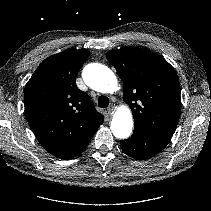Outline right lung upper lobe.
I'll return each instance as SVG.
<instances>
[{"label":"right lung upper lobe","mask_w":211,"mask_h":211,"mask_svg":"<svg viewBox=\"0 0 211 211\" xmlns=\"http://www.w3.org/2000/svg\"><path fill=\"white\" fill-rule=\"evenodd\" d=\"M89 56L86 49H67L46 58L24 90L26 119L41 145L65 159L86 145L103 123L76 76Z\"/></svg>","instance_id":"obj_1"}]
</instances>
